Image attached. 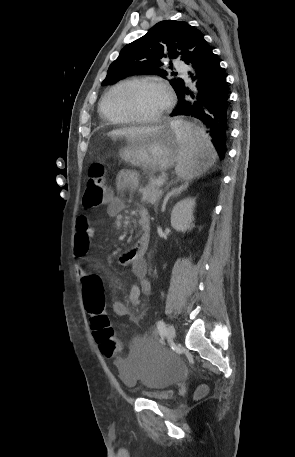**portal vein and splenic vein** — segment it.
<instances>
[{
    "label": "portal vein and splenic vein",
    "mask_w": 295,
    "mask_h": 457,
    "mask_svg": "<svg viewBox=\"0 0 295 457\" xmlns=\"http://www.w3.org/2000/svg\"><path fill=\"white\" fill-rule=\"evenodd\" d=\"M164 183H165V179H159V180L157 181V185H158V186H162Z\"/></svg>",
    "instance_id": "1"
}]
</instances>
